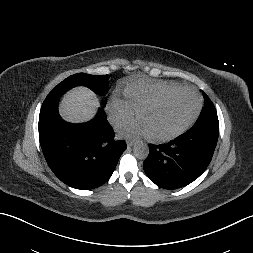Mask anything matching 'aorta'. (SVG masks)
I'll use <instances>...</instances> for the list:
<instances>
[{"instance_id": "obj_1", "label": "aorta", "mask_w": 253, "mask_h": 253, "mask_svg": "<svg viewBox=\"0 0 253 253\" xmlns=\"http://www.w3.org/2000/svg\"><path fill=\"white\" fill-rule=\"evenodd\" d=\"M133 153L136 158H138L140 160H144L148 157L149 147L144 142H138L134 145Z\"/></svg>"}]
</instances>
